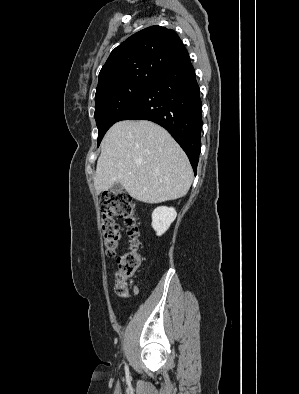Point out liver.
I'll return each mask as SVG.
<instances>
[{"mask_svg": "<svg viewBox=\"0 0 299 394\" xmlns=\"http://www.w3.org/2000/svg\"><path fill=\"white\" fill-rule=\"evenodd\" d=\"M192 180L188 157L159 125L125 120L105 134L94 177L98 194L120 183L134 199L160 203L186 195Z\"/></svg>", "mask_w": 299, "mask_h": 394, "instance_id": "liver-1", "label": "liver"}]
</instances>
